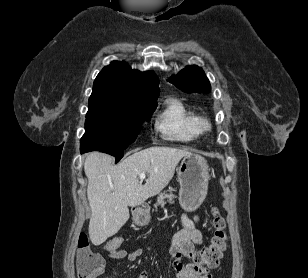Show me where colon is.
<instances>
[{"label":"colon","instance_id":"colon-1","mask_svg":"<svg viewBox=\"0 0 308 278\" xmlns=\"http://www.w3.org/2000/svg\"><path fill=\"white\" fill-rule=\"evenodd\" d=\"M213 228L209 245L195 253L192 258L196 264L205 269L218 266L227 246L226 223L217 210H213ZM121 244V238H113L103 244L102 251L107 253L109 250H118ZM76 266L79 278H97L104 267L103 257L90 248L85 234H81L78 239Z\"/></svg>","mask_w":308,"mask_h":278}]
</instances>
